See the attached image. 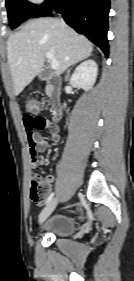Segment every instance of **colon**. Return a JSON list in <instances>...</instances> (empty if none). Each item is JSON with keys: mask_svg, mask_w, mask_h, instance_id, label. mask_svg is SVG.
Instances as JSON below:
<instances>
[{"mask_svg": "<svg viewBox=\"0 0 134 281\" xmlns=\"http://www.w3.org/2000/svg\"><path fill=\"white\" fill-rule=\"evenodd\" d=\"M27 110L32 113H37L39 111V102L34 99H29L27 101ZM49 192V185L39 178H35L31 181L30 185V198L36 204H41L44 202L47 194Z\"/></svg>", "mask_w": 134, "mask_h": 281, "instance_id": "5ec220e1", "label": "colon"}]
</instances>
